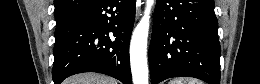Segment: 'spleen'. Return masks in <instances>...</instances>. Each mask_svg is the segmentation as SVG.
Masks as SVG:
<instances>
[{"instance_id": "spleen-1", "label": "spleen", "mask_w": 260, "mask_h": 84, "mask_svg": "<svg viewBox=\"0 0 260 84\" xmlns=\"http://www.w3.org/2000/svg\"><path fill=\"white\" fill-rule=\"evenodd\" d=\"M169 84H203V82L195 78H175Z\"/></svg>"}]
</instances>
